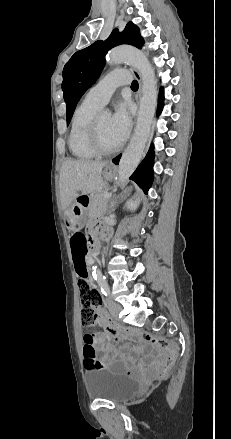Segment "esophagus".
Wrapping results in <instances>:
<instances>
[{
	"mask_svg": "<svg viewBox=\"0 0 231 439\" xmlns=\"http://www.w3.org/2000/svg\"><path fill=\"white\" fill-rule=\"evenodd\" d=\"M129 69L139 83V89H138L137 94H136V102L139 104L140 100H141V96H142V90H143L142 77H141V74L135 68L130 67Z\"/></svg>",
	"mask_w": 231,
	"mask_h": 439,
	"instance_id": "obj_1",
	"label": "esophagus"
}]
</instances>
